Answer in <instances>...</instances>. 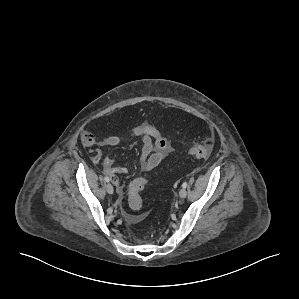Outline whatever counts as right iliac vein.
<instances>
[{
	"instance_id": "63e3f726",
	"label": "right iliac vein",
	"mask_w": 299,
	"mask_h": 299,
	"mask_svg": "<svg viewBox=\"0 0 299 299\" xmlns=\"http://www.w3.org/2000/svg\"><path fill=\"white\" fill-rule=\"evenodd\" d=\"M105 188L109 194H112L114 192V188L110 183L106 184Z\"/></svg>"
}]
</instances>
